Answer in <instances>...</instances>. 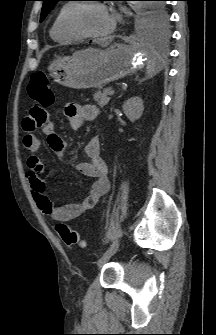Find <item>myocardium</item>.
<instances>
[{"mask_svg": "<svg viewBox=\"0 0 216 335\" xmlns=\"http://www.w3.org/2000/svg\"><path fill=\"white\" fill-rule=\"evenodd\" d=\"M86 5H96L98 7L103 8L108 14V9L106 8V6L101 3V2H97V1H89V2H82V3H73L69 9L67 10L64 18H63V27L64 30L71 36H74L76 38H89V39H97V38H101L104 36L109 35L111 32H113V30L115 29L116 26V22L115 19L110 15L111 17V25L109 27L108 30H106L105 32H101V33H91V32H85L83 30H81L76 23V14L77 12L84 6Z\"/></svg>", "mask_w": 216, "mask_h": 335, "instance_id": "1", "label": "myocardium"}]
</instances>
